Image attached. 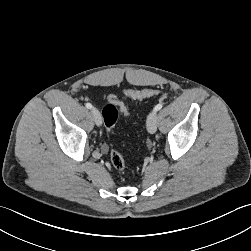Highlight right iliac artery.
<instances>
[{
	"label": "right iliac artery",
	"mask_w": 251,
	"mask_h": 251,
	"mask_svg": "<svg viewBox=\"0 0 251 251\" xmlns=\"http://www.w3.org/2000/svg\"><path fill=\"white\" fill-rule=\"evenodd\" d=\"M86 107H87L88 109H91V108H92V104L86 103Z\"/></svg>",
	"instance_id": "82829eb1"
}]
</instances>
